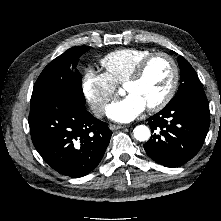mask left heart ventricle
<instances>
[{
	"mask_svg": "<svg viewBox=\"0 0 221 221\" xmlns=\"http://www.w3.org/2000/svg\"><path fill=\"white\" fill-rule=\"evenodd\" d=\"M172 81V67L164 57L153 59L143 77L135 83L125 85L127 94L138 96L146 107L157 103L167 93Z\"/></svg>",
	"mask_w": 221,
	"mask_h": 221,
	"instance_id": "obj_1",
	"label": "left heart ventricle"
}]
</instances>
